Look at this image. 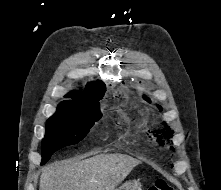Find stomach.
Here are the masks:
<instances>
[{
	"instance_id": "1",
	"label": "stomach",
	"mask_w": 221,
	"mask_h": 190,
	"mask_svg": "<svg viewBox=\"0 0 221 190\" xmlns=\"http://www.w3.org/2000/svg\"><path fill=\"white\" fill-rule=\"evenodd\" d=\"M114 190H142V185L138 180H129Z\"/></svg>"
}]
</instances>
